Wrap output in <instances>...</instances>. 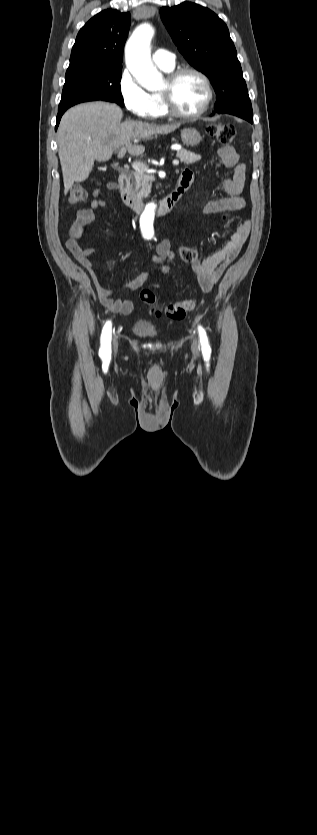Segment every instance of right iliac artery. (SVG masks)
I'll list each match as a JSON object with an SVG mask.
<instances>
[{"instance_id":"82829eb1","label":"right iliac artery","mask_w":317,"mask_h":835,"mask_svg":"<svg viewBox=\"0 0 317 835\" xmlns=\"http://www.w3.org/2000/svg\"><path fill=\"white\" fill-rule=\"evenodd\" d=\"M111 332L112 323L111 321H107L102 330L101 346L99 350V355L103 360H108L111 356Z\"/></svg>"}]
</instances>
